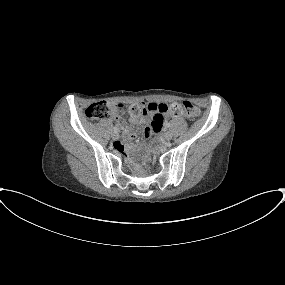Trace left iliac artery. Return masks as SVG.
I'll use <instances>...</instances> for the list:
<instances>
[{"label": "left iliac artery", "instance_id": "44dca946", "mask_svg": "<svg viewBox=\"0 0 285 285\" xmlns=\"http://www.w3.org/2000/svg\"><path fill=\"white\" fill-rule=\"evenodd\" d=\"M167 128H169L170 127V123H166V125H165Z\"/></svg>", "mask_w": 285, "mask_h": 285}]
</instances>
